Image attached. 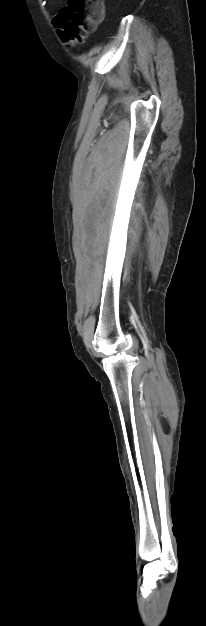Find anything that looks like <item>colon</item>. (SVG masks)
I'll use <instances>...</instances> for the list:
<instances>
[{
    "label": "colon",
    "mask_w": 206,
    "mask_h": 626,
    "mask_svg": "<svg viewBox=\"0 0 206 626\" xmlns=\"http://www.w3.org/2000/svg\"><path fill=\"white\" fill-rule=\"evenodd\" d=\"M103 15L102 0H67L54 17V24L64 42L80 43L102 21Z\"/></svg>",
    "instance_id": "5ec220e1"
}]
</instances>
